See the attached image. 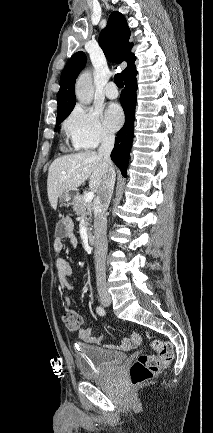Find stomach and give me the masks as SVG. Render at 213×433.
<instances>
[{
    "label": "stomach",
    "mask_w": 213,
    "mask_h": 433,
    "mask_svg": "<svg viewBox=\"0 0 213 433\" xmlns=\"http://www.w3.org/2000/svg\"><path fill=\"white\" fill-rule=\"evenodd\" d=\"M75 197H76L75 192L73 190H68L63 192L59 196V200L63 206H70L73 203Z\"/></svg>",
    "instance_id": "1"
}]
</instances>
